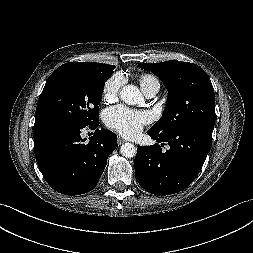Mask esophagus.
Returning a JSON list of instances; mask_svg holds the SVG:
<instances>
[{
    "label": "esophagus",
    "mask_w": 253,
    "mask_h": 253,
    "mask_svg": "<svg viewBox=\"0 0 253 253\" xmlns=\"http://www.w3.org/2000/svg\"><path fill=\"white\" fill-rule=\"evenodd\" d=\"M117 142H118L119 145H121V144H123L126 141L123 138L118 137Z\"/></svg>",
    "instance_id": "esophagus-1"
}]
</instances>
